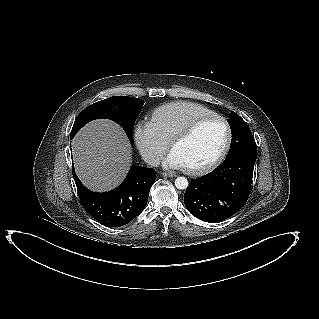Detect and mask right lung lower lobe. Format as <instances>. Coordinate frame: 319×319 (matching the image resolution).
Listing matches in <instances>:
<instances>
[{
	"mask_svg": "<svg viewBox=\"0 0 319 319\" xmlns=\"http://www.w3.org/2000/svg\"><path fill=\"white\" fill-rule=\"evenodd\" d=\"M72 174L86 212L109 227L126 225L144 210L150 188L156 179L152 168L132 166L120 186L110 192L96 193L80 182L73 167Z\"/></svg>",
	"mask_w": 319,
	"mask_h": 319,
	"instance_id": "obj_1",
	"label": "right lung lower lobe"
}]
</instances>
